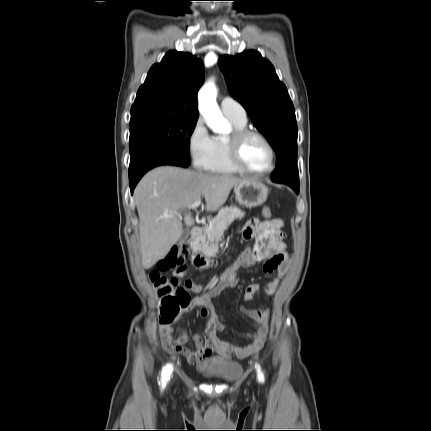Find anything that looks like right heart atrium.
<instances>
[{
  "instance_id": "right-heart-atrium-1",
  "label": "right heart atrium",
  "mask_w": 431,
  "mask_h": 431,
  "mask_svg": "<svg viewBox=\"0 0 431 431\" xmlns=\"http://www.w3.org/2000/svg\"><path fill=\"white\" fill-rule=\"evenodd\" d=\"M187 148L193 167L203 171L209 170L215 153V139L201 118L195 121L188 134Z\"/></svg>"
}]
</instances>
